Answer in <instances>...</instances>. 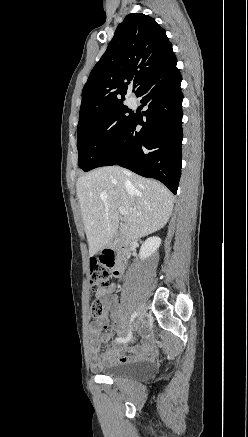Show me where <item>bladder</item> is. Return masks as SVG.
Listing matches in <instances>:
<instances>
[{
	"mask_svg": "<svg viewBox=\"0 0 248 437\" xmlns=\"http://www.w3.org/2000/svg\"><path fill=\"white\" fill-rule=\"evenodd\" d=\"M152 371L151 363L138 361L110 365L102 370V374L112 379L145 380L152 374Z\"/></svg>",
	"mask_w": 248,
	"mask_h": 437,
	"instance_id": "obj_1",
	"label": "bladder"
}]
</instances>
